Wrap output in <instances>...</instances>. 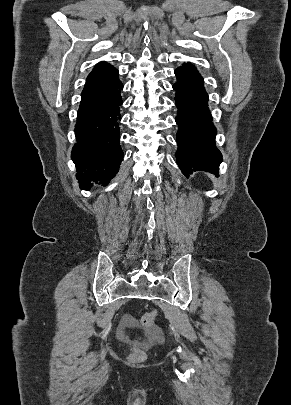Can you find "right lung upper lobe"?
I'll use <instances>...</instances> for the list:
<instances>
[{"label":"right lung upper lobe","instance_id":"obj_1","mask_svg":"<svg viewBox=\"0 0 291 405\" xmlns=\"http://www.w3.org/2000/svg\"><path fill=\"white\" fill-rule=\"evenodd\" d=\"M118 70L108 64L107 62H100L98 63L92 72L88 75L86 83H90L101 78L107 77L116 73Z\"/></svg>","mask_w":291,"mask_h":405}]
</instances>
